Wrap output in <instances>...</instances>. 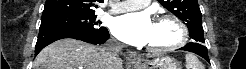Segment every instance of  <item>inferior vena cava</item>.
I'll return each instance as SVG.
<instances>
[{
  "instance_id": "1",
  "label": "inferior vena cava",
  "mask_w": 246,
  "mask_h": 69,
  "mask_svg": "<svg viewBox=\"0 0 246 69\" xmlns=\"http://www.w3.org/2000/svg\"><path fill=\"white\" fill-rule=\"evenodd\" d=\"M107 49L110 50L111 59L114 61H118L117 53L121 50V46L116 43L109 42Z\"/></svg>"
}]
</instances>
